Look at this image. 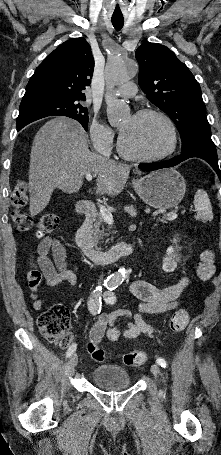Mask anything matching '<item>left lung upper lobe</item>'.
<instances>
[{"instance_id":"obj_1","label":"left lung upper lobe","mask_w":221,"mask_h":455,"mask_svg":"<svg viewBox=\"0 0 221 455\" xmlns=\"http://www.w3.org/2000/svg\"><path fill=\"white\" fill-rule=\"evenodd\" d=\"M135 56L140 66L138 83L176 124L182 150L195 142L213 143L201 89L188 67L158 43H143Z\"/></svg>"}]
</instances>
